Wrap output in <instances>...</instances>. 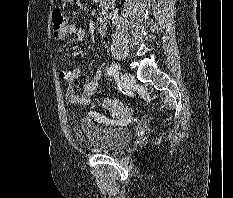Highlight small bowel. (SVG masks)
Instances as JSON below:
<instances>
[{"instance_id":"small-bowel-1","label":"small bowel","mask_w":233,"mask_h":198,"mask_svg":"<svg viewBox=\"0 0 233 198\" xmlns=\"http://www.w3.org/2000/svg\"><path fill=\"white\" fill-rule=\"evenodd\" d=\"M97 29L102 34L106 35V22L104 13L99 17L97 22ZM72 36L74 42H79L84 40L86 36V30L81 25L67 24L65 27L59 31L53 33V38L55 42H62L67 36ZM81 74V69L79 67H74L72 69H62L59 73L62 80L68 85L66 90V100L73 105H88L91 102L92 97L96 93L99 87V80L101 77V70H97L90 78V80L84 85L81 94H77L74 91L73 83L78 79ZM95 118L102 122H106V118L98 113L94 114Z\"/></svg>"}]
</instances>
